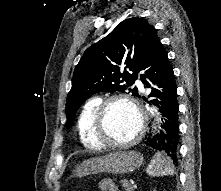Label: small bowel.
<instances>
[{
	"label": "small bowel",
	"mask_w": 221,
	"mask_h": 191,
	"mask_svg": "<svg viewBox=\"0 0 221 191\" xmlns=\"http://www.w3.org/2000/svg\"><path fill=\"white\" fill-rule=\"evenodd\" d=\"M101 191H119L117 186L111 180H102L98 184Z\"/></svg>",
	"instance_id": "1"
}]
</instances>
